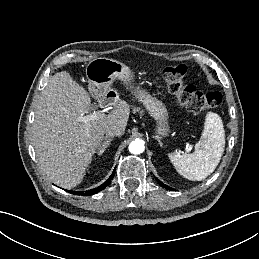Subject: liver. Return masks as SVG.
I'll return each instance as SVG.
<instances>
[{
    "label": "liver",
    "mask_w": 259,
    "mask_h": 259,
    "mask_svg": "<svg viewBox=\"0 0 259 259\" xmlns=\"http://www.w3.org/2000/svg\"><path fill=\"white\" fill-rule=\"evenodd\" d=\"M91 106L88 92L66 71L56 73L36 104L33 145L41 169L56 185L73 188L80 184L107 129L124 133L130 110L124 101L98 120L84 123Z\"/></svg>",
    "instance_id": "liver-1"
}]
</instances>
